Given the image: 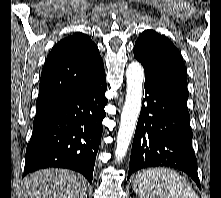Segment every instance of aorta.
I'll return each instance as SVG.
<instances>
[{
  "label": "aorta",
  "mask_w": 221,
  "mask_h": 198,
  "mask_svg": "<svg viewBox=\"0 0 221 198\" xmlns=\"http://www.w3.org/2000/svg\"><path fill=\"white\" fill-rule=\"evenodd\" d=\"M127 91L117 134L115 160L122 161L129 148L140 113L144 70L139 62H131L126 70Z\"/></svg>",
  "instance_id": "obj_1"
}]
</instances>
